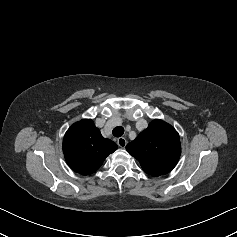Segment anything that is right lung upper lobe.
<instances>
[{"mask_svg":"<svg viewBox=\"0 0 237 237\" xmlns=\"http://www.w3.org/2000/svg\"><path fill=\"white\" fill-rule=\"evenodd\" d=\"M117 145L105 139L91 119L74 123L65 133L63 153L72 170L89 175L99 169Z\"/></svg>","mask_w":237,"mask_h":237,"instance_id":"obj_1","label":"right lung upper lobe"}]
</instances>
